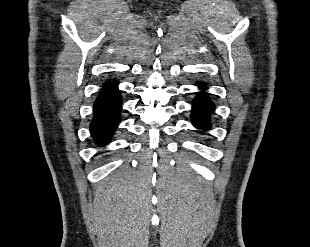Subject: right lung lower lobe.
Segmentation results:
<instances>
[{"label":"right lung lower lobe","mask_w":310,"mask_h":247,"mask_svg":"<svg viewBox=\"0 0 310 247\" xmlns=\"http://www.w3.org/2000/svg\"><path fill=\"white\" fill-rule=\"evenodd\" d=\"M117 83V81L105 83L94 103V119L90 125V132L99 145L110 141L120 122L122 101Z\"/></svg>","instance_id":"obj_1"}]
</instances>
